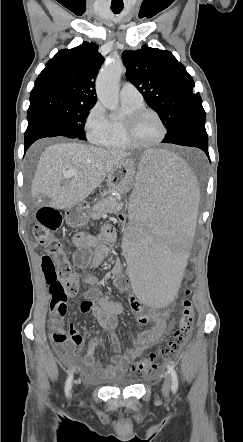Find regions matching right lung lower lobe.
<instances>
[{
    "mask_svg": "<svg viewBox=\"0 0 243 442\" xmlns=\"http://www.w3.org/2000/svg\"><path fill=\"white\" fill-rule=\"evenodd\" d=\"M65 136L74 138V136L64 127L53 121L34 118L28 121V127L25 132V152L36 140L45 137Z\"/></svg>",
    "mask_w": 243,
    "mask_h": 442,
    "instance_id": "obj_1",
    "label": "right lung lower lobe"
}]
</instances>
